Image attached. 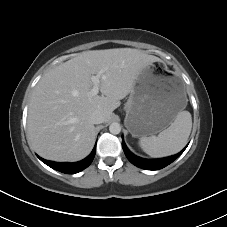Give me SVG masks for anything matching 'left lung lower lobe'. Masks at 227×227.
<instances>
[{"label": "left lung lower lobe", "mask_w": 227, "mask_h": 227, "mask_svg": "<svg viewBox=\"0 0 227 227\" xmlns=\"http://www.w3.org/2000/svg\"><path fill=\"white\" fill-rule=\"evenodd\" d=\"M122 147L128 160L135 166L146 170H159L176 160L183 153L187 146L178 154L162 159L140 158L129 151L124 141H122Z\"/></svg>", "instance_id": "0a47b994"}]
</instances>
